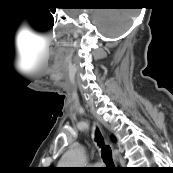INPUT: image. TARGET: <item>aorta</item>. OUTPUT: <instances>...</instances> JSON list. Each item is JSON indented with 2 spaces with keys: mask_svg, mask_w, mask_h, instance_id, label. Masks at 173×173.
Returning a JSON list of instances; mask_svg holds the SVG:
<instances>
[{
  "mask_svg": "<svg viewBox=\"0 0 173 173\" xmlns=\"http://www.w3.org/2000/svg\"><path fill=\"white\" fill-rule=\"evenodd\" d=\"M84 154L80 149L69 151L62 159V165H68L66 167H80V166H69V165H82L84 163Z\"/></svg>",
  "mask_w": 173,
  "mask_h": 173,
  "instance_id": "aorta-1",
  "label": "aorta"
}]
</instances>
